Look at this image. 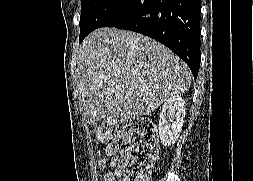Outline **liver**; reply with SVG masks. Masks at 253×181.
I'll return each instance as SVG.
<instances>
[{
  "label": "liver",
  "instance_id": "obj_1",
  "mask_svg": "<svg viewBox=\"0 0 253 181\" xmlns=\"http://www.w3.org/2000/svg\"><path fill=\"white\" fill-rule=\"evenodd\" d=\"M77 86L89 124L148 116L172 95L188 90L191 73L167 47L125 30L100 28L82 42Z\"/></svg>",
  "mask_w": 253,
  "mask_h": 181
}]
</instances>
